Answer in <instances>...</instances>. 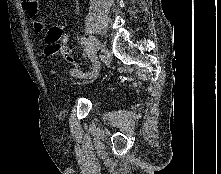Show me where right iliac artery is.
I'll use <instances>...</instances> for the list:
<instances>
[{
	"mask_svg": "<svg viewBox=\"0 0 221 174\" xmlns=\"http://www.w3.org/2000/svg\"><path fill=\"white\" fill-rule=\"evenodd\" d=\"M81 41H82V45H83L85 52L89 55L88 41L85 38H82ZM91 62H92V70L91 71L83 72L77 68H74L71 70V75L75 76L77 78H81V79H92V78L97 77L99 70H100V62H99L98 58L92 59Z\"/></svg>",
	"mask_w": 221,
	"mask_h": 174,
	"instance_id": "right-iliac-artery-1",
	"label": "right iliac artery"
}]
</instances>
